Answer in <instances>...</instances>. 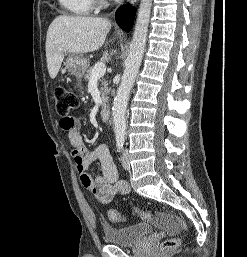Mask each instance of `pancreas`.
<instances>
[{
  "mask_svg": "<svg viewBox=\"0 0 247 257\" xmlns=\"http://www.w3.org/2000/svg\"><path fill=\"white\" fill-rule=\"evenodd\" d=\"M93 68L90 67L87 69L86 74L84 75V79L86 81H90L91 79V73H92ZM101 98H102V105H104L108 101V94H109V89H108V83L105 80L101 81Z\"/></svg>",
  "mask_w": 247,
  "mask_h": 257,
  "instance_id": "1",
  "label": "pancreas"
}]
</instances>
